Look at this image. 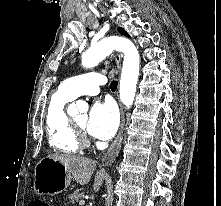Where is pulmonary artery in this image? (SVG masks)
<instances>
[{"mask_svg": "<svg viewBox=\"0 0 221 206\" xmlns=\"http://www.w3.org/2000/svg\"><path fill=\"white\" fill-rule=\"evenodd\" d=\"M107 82L106 76L90 72L67 79L61 85L66 93L76 98L80 95H97L100 92V86Z\"/></svg>", "mask_w": 221, "mask_h": 206, "instance_id": "e3ab8cb5", "label": "pulmonary artery"}]
</instances>
